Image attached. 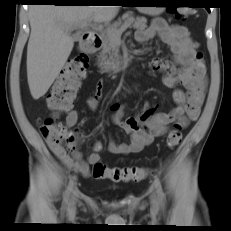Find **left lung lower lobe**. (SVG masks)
Here are the masks:
<instances>
[{"label":"left lung lower lobe","mask_w":231,"mask_h":231,"mask_svg":"<svg viewBox=\"0 0 231 231\" xmlns=\"http://www.w3.org/2000/svg\"><path fill=\"white\" fill-rule=\"evenodd\" d=\"M206 9H207L208 11H210V8H209V7H207Z\"/></svg>","instance_id":"left-lung-lower-lobe-1"}]
</instances>
